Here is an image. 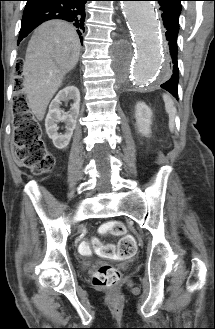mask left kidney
<instances>
[{"label": "left kidney", "instance_id": "5707ae66", "mask_svg": "<svg viewBox=\"0 0 215 329\" xmlns=\"http://www.w3.org/2000/svg\"><path fill=\"white\" fill-rule=\"evenodd\" d=\"M135 118L136 124L138 127L139 133L144 136H149L151 133V124H152V111L151 109L144 103L138 102L135 107Z\"/></svg>", "mask_w": 215, "mask_h": 329}]
</instances>
